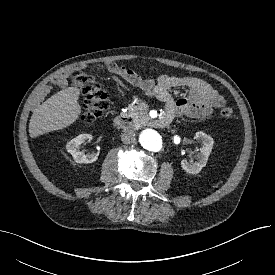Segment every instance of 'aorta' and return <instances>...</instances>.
I'll return each mask as SVG.
<instances>
[{
	"label": "aorta",
	"mask_w": 275,
	"mask_h": 275,
	"mask_svg": "<svg viewBox=\"0 0 275 275\" xmlns=\"http://www.w3.org/2000/svg\"><path fill=\"white\" fill-rule=\"evenodd\" d=\"M139 142L148 151H159L162 146L161 136L152 129H145L139 135Z\"/></svg>",
	"instance_id": "aorta-1"
}]
</instances>
